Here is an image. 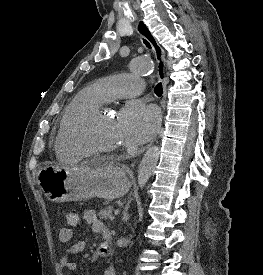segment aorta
Segmentation results:
<instances>
[{
    "label": "aorta",
    "mask_w": 263,
    "mask_h": 275,
    "mask_svg": "<svg viewBox=\"0 0 263 275\" xmlns=\"http://www.w3.org/2000/svg\"><path fill=\"white\" fill-rule=\"evenodd\" d=\"M130 68L134 73L145 74L151 73L154 70V64L149 59L137 58L131 61ZM160 156V148L151 146L144 154L138 168L137 182L138 186L143 187L152 176Z\"/></svg>",
    "instance_id": "obj_1"
}]
</instances>
